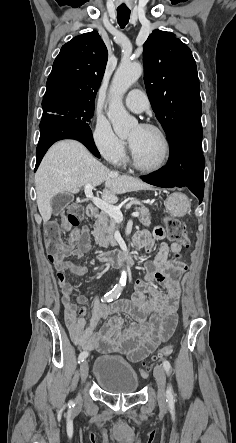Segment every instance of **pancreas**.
Listing matches in <instances>:
<instances>
[{
	"instance_id": "pancreas-1",
	"label": "pancreas",
	"mask_w": 236,
	"mask_h": 443,
	"mask_svg": "<svg viewBox=\"0 0 236 443\" xmlns=\"http://www.w3.org/2000/svg\"><path fill=\"white\" fill-rule=\"evenodd\" d=\"M135 210L140 213L139 222L146 227L150 226L151 217L149 210L144 206L136 207ZM116 228L117 223L114 218L105 212L97 214V220L95 221L92 231L95 243L104 248L116 246V240L114 238Z\"/></svg>"
}]
</instances>
